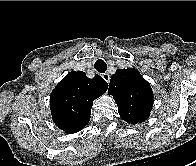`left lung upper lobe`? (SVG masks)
<instances>
[{
  "label": "left lung upper lobe",
  "mask_w": 196,
  "mask_h": 166,
  "mask_svg": "<svg viewBox=\"0 0 196 166\" xmlns=\"http://www.w3.org/2000/svg\"><path fill=\"white\" fill-rule=\"evenodd\" d=\"M108 92L118 105L120 117L127 123L143 122L150 116L153 91L138 70L118 69L111 77Z\"/></svg>",
  "instance_id": "1"
}]
</instances>
